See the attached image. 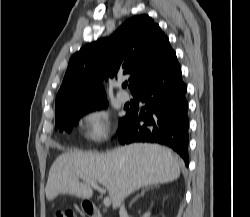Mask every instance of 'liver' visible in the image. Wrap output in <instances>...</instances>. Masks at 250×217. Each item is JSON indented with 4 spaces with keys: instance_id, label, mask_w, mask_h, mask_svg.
I'll return each mask as SVG.
<instances>
[{
    "instance_id": "6515ba94",
    "label": "liver",
    "mask_w": 250,
    "mask_h": 217,
    "mask_svg": "<svg viewBox=\"0 0 250 217\" xmlns=\"http://www.w3.org/2000/svg\"><path fill=\"white\" fill-rule=\"evenodd\" d=\"M180 176L179 160L164 146L134 143L105 154L70 151L61 154L51 166L45 188L48 201L59 194L89 199L93 190L79 178H89L108 191L113 208L139 190L152 184L168 183Z\"/></svg>"
}]
</instances>
